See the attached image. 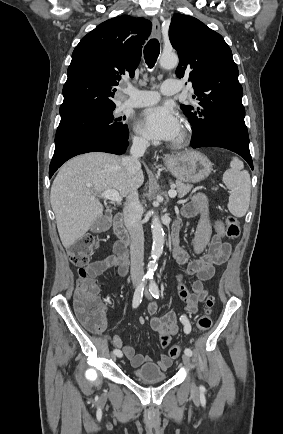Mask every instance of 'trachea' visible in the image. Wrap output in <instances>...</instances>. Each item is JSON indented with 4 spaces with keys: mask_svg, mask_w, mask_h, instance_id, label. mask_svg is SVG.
<instances>
[{
    "mask_svg": "<svg viewBox=\"0 0 283 434\" xmlns=\"http://www.w3.org/2000/svg\"><path fill=\"white\" fill-rule=\"evenodd\" d=\"M160 44L157 39H150L144 47V59L149 68H152L159 56Z\"/></svg>",
    "mask_w": 283,
    "mask_h": 434,
    "instance_id": "trachea-1",
    "label": "trachea"
}]
</instances>
